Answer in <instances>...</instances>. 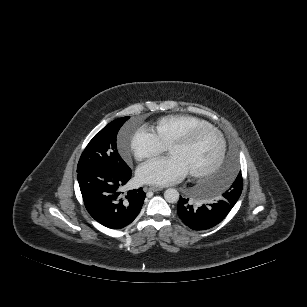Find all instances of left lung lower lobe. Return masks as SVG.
I'll list each match as a JSON object with an SVG mask.
<instances>
[{
  "label": "left lung lower lobe",
  "mask_w": 307,
  "mask_h": 307,
  "mask_svg": "<svg viewBox=\"0 0 307 307\" xmlns=\"http://www.w3.org/2000/svg\"><path fill=\"white\" fill-rule=\"evenodd\" d=\"M213 204L193 206L189 199L180 196L177 213L181 220L193 230H206L219 224L231 211L237 200L226 193Z\"/></svg>",
  "instance_id": "1"
}]
</instances>
